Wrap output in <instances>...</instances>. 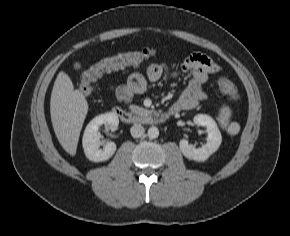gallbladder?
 Returning a JSON list of instances; mask_svg holds the SVG:
<instances>
[{
  "label": "gallbladder",
  "instance_id": "bac80fb5",
  "mask_svg": "<svg viewBox=\"0 0 290 236\" xmlns=\"http://www.w3.org/2000/svg\"><path fill=\"white\" fill-rule=\"evenodd\" d=\"M73 66L76 70H79L81 68V64L79 62H75Z\"/></svg>",
  "mask_w": 290,
  "mask_h": 236
}]
</instances>
